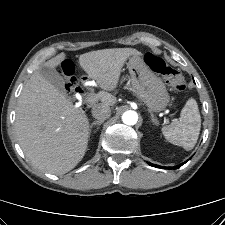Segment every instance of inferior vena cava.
I'll return each mask as SVG.
<instances>
[{"label": "inferior vena cava", "mask_w": 225, "mask_h": 225, "mask_svg": "<svg viewBox=\"0 0 225 225\" xmlns=\"http://www.w3.org/2000/svg\"><path fill=\"white\" fill-rule=\"evenodd\" d=\"M111 115V109L108 105L98 104L92 108V116L98 120H105Z\"/></svg>", "instance_id": "602c4592"}]
</instances>
